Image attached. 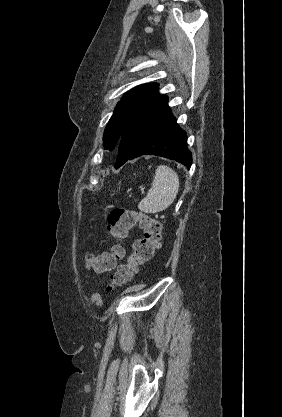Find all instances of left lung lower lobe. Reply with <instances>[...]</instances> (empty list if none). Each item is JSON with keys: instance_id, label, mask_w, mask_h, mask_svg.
Wrapping results in <instances>:
<instances>
[{"instance_id": "1", "label": "left lung lower lobe", "mask_w": 282, "mask_h": 417, "mask_svg": "<svg viewBox=\"0 0 282 417\" xmlns=\"http://www.w3.org/2000/svg\"><path fill=\"white\" fill-rule=\"evenodd\" d=\"M167 103V96L156 89L130 114L116 147L119 153L116 169L141 155L166 157L190 168L192 156L186 132L176 123Z\"/></svg>"}]
</instances>
